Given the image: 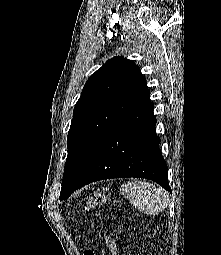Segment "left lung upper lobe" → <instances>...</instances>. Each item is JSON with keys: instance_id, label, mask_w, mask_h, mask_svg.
Masks as SVG:
<instances>
[{"instance_id": "5c2ea615", "label": "left lung upper lobe", "mask_w": 221, "mask_h": 255, "mask_svg": "<svg viewBox=\"0 0 221 255\" xmlns=\"http://www.w3.org/2000/svg\"><path fill=\"white\" fill-rule=\"evenodd\" d=\"M150 91L139 67L123 57L108 60L85 83L68 133L60 199H67L94 152L114 125Z\"/></svg>"}]
</instances>
